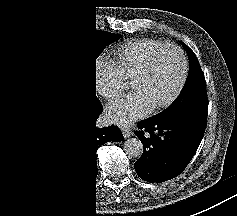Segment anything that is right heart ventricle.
<instances>
[{
	"label": "right heart ventricle",
	"instance_id": "1",
	"mask_svg": "<svg viewBox=\"0 0 237 216\" xmlns=\"http://www.w3.org/2000/svg\"><path fill=\"white\" fill-rule=\"evenodd\" d=\"M159 50H161L160 42L154 38L126 43L123 49L118 52L119 67L126 76L137 78V74Z\"/></svg>",
	"mask_w": 237,
	"mask_h": 216
}]
</instances>
